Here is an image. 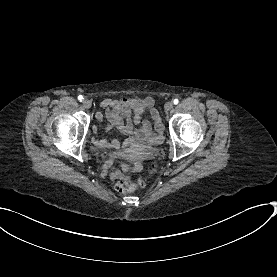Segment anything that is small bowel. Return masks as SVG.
<instances>
[{
    "label": "small bowel",
    "mask_w": 277,
    "mask_h": 277,
    "mask_svg": "<svg viewBox=\"0 0 277 277\" xmlns=\"http://www.w3.org/2000/svg\"><path fill=\"white\" fill-rule=\"evenodd\" d=\"M101 106L106 109L107 130L116 128L130 137L132 142L146 140L150 143H156L160 139L164 125L159 109L156 107L152 97L104 100ZM146 111L149 112L153 120L154 128L150 121L142 119V115ZM96 118L98 121H102L101 114H97ZM134 125L138 127L134 128ZM95 145L113 151V154L105 164L106 169H112L120 156V143L116 140L96 139ZM130 170H133V168L124 167V171ZM110 176L112 180L123 178V174L119 171H113Z\"/></svg>",
    "instance_id": "obj_1"
}]
</instances>
